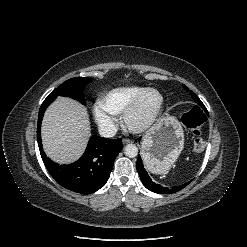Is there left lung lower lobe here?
<instances>
[{
    "mask_svg": "<svg viewBox=\"0 0 247 247\" xmlns=\"http://www.w3.org/2000/svg\"><path fill=\"white\" fill-rule=\"evenodd\" d=\"M136 168H137L138 174L141 178L143 185L147 189H149L150 191L158 193V194H170V193L180 191L181 189L186 187L191 182V181H189L188 183H185V184H182L179 186L170 187V188L164 187V186L154 182L151 179V177L148 175L147 171L145 170L142 159L140 157H138V159H137Z\"/></svg>",
    "mask_w": 247,
    "mask_h": 247,
    "instance_id": "1",
    "label": "left lung lower lobe"
}]
</instances>
